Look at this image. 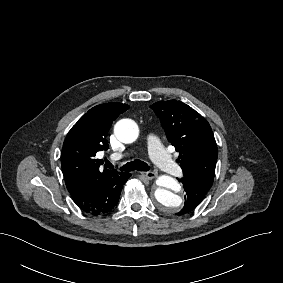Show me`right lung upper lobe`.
<instances>
[{
  "label": "right lung upper lobe",
  "mask_w": 283,
  "mask_h": 283,
  "mask_svg": "<svg viewBox=\"0 0 283 283\" xmlns=\"http://www.w3.org/2000/svg\"><path fill=\"white\" fill-rule=\"evenodd\" d=\"M129 108L122 103H106L93 107L73 126L67 134L61 155L62 171L69 190L76 184L104 179L117 170L99 169V151L108 148L107 133L112 122Z\"/></svg>",
  "instance_id": "obj_1"
}]
</instances>
